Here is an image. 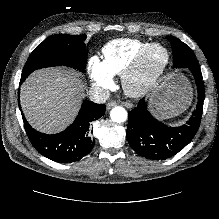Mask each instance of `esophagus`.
Wrapping results in <instances>:
<instances>
[{
  "label": "esophagus",
  "instance_id": "obj_1",
  "mask_svg": "<svg viewBox=\"0 0 219 219\" xmlns=\"http://www.w3.org/2000/svg\"><path fill=\"white\" fill-rule=\"evenodd\" d=\"M116 105H117L116 102H113V101L108 102V103H107V110H109L111 107H114V106H116Z\"/></svg>",
  "mask_w": 219,
  "mask_h": 219
}]
</instances>
